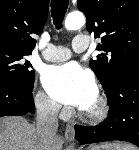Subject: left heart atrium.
I'll use <instances>...</instances> for the list:
<instances>
[{
  "instance_id": "obj_1",
  "label": "left heart atrium",
  "mask_w": 139,
  "mask_h": 150,
  "mask_svg": "<svg viewBox=\"0 0 139 150\" xmlns=\"http://www.w3.org/2000/svg\"><path fill=\"white\" fill-rule=\"evenodd\" d=\"M42 83L54 100L81 110L97 99L98 89L93 75L76 63L47 68Z\"/></svg>"
}]
</instances>
